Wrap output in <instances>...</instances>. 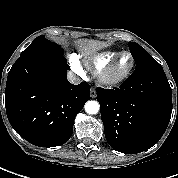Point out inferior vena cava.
<instances>
[{"label": "inferior vena cava", "instance_id": "602c4592", "mask_svg": "<svg viewBox=\"0 0 178 178\" xmlns=\"http://www.w3.org/2000/svg\"><path fill=\"white\" fill-rule=\"evenodd\" d=\"M67 77L69 82H71L72 84H80L82 81L81 78H79L77 75H75L72 72H69Z\"/></svg>", "mask_w": 178, "mask_h": 178}]
</instances>
